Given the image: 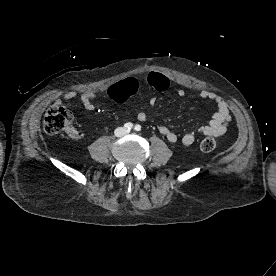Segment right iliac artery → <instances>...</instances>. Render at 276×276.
<instances>
[{
    "instance_id": "82829eb1",
    "label": "right iliac artery",
    "mask_w": 276,
    "mask_h": 276,
    "mask_svg": "<svg viewBox=\"0 0 276 276\" xmlns=\"http://www.w3.org/2000/svg\"><path fill=\"white\" fill-rule=\"evenodd\" d=\"M124 128L127 130V131H130L132 128H133V124L128 122L126 124H124Z\"/></svg>"
}]
</instances>
